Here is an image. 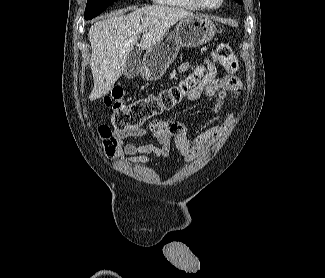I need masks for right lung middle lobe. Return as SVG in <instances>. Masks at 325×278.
<instances>
[{
	"instance_id": "1",
	"label": "right lung middle lobe",
	"mask_w": 325,
	"mask_h": 278,
	"mask_svg": "<svg viewBox=\"0 0 325 278\" xmlns=\"http://www.w3.org/2000/svg\"><path fill=\"white\" fill-rule=\"evenodd\" d=\"M115 1L117 0H88L84 18L89 20L96 17Z\"/></svg>"
}]
</instances>
